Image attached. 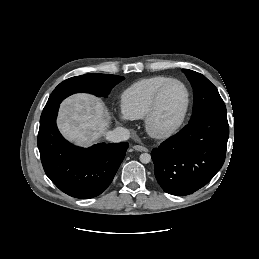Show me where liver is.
I'll use <instances>...</instances> for the list:
<instances>
[{
  "label": "liver",
  "instance_id": "1",
  "mask_svg": "<svg viewBox=\"0 0 259 259\" xmlns=\"http://www.w3.org/2000/svg\"><path fill=\"white\" fill-rule=\"evenodd\" d=\"M57 124L66 139L89 147L106 134L109 114L98 98L76 94L61 103Z\"/></svg>",
  "mask_w": 259,
  "mask_h": 259
}]
</instances>
